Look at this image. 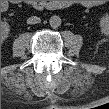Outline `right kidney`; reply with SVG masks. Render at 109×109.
Returning <instances> with one entry per match:
<instances>
[{"label":"right kidney","mask_w":109,"mask_h":109,"mask_svg":"<svg viewBox=\"0 0 109 109\" xmlns=\"http://www.w3.org/2000/svg\"><path fill=\"white\" fill-rule=\"evenodd\" d=\"M9 25L8 24H3L2 25V31H1V36L2 39H6L8 37V33H9Z\"/></svg>","instance_id":"ca27d5eb"}]
</instances>
